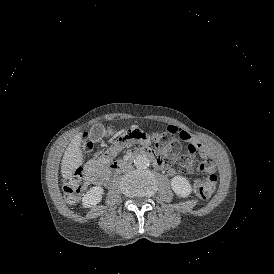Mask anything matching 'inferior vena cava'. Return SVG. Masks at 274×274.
Segmentation results:
<instances>
[{
    "label": "inferior vena cava",
    "mask_w": 274,
    "mask_h": 274,
    "mask_svg": "<svg viewBox=\"0 0 274 274\" xmlns=\"http://www.w3.org/2000/svg\"><path fill=\"white\" fill-rule=\"evenodd\" d=\"M132 168V166L131 165H128V169H131Z\"/></svg>",
    "instance_id": "inferior-vena-cava-1"
}]
</instances>
